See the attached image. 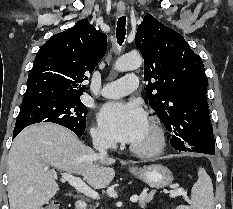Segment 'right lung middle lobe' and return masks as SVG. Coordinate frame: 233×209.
I'll return each mask as SVG.
<instances>
[{
	"instance_id": "1",
	"label": "right lung middle lobe",
	"mask_w": 233,
	"mask_h": 209,
	"mask_svg": "<svg viewBox=\"0 0 233 209\" xmlns=\"http://www.w3.org/2000/svg\"><path fill=\"white\" fill-rule=\"evenodd\" d=\"M87 108L78 99H45L22 103L14 130L39 122H52L72 131L84 132Z\"/></svg>"
}]
</instances>
